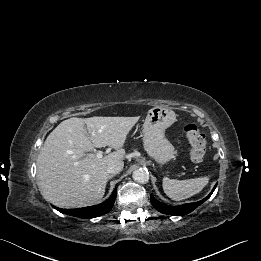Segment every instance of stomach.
<instances>
[{
	"mask_svg": "<svg viewBox=\"0 0 261 261\" xmlns=\"http://www.w3.org/2000/svg\"><path fill=\"white\" fill-rule=\"evenodd\" d=\"M175 121L176 114L174 111L162 106L150 109L144 121V148L159 164L167 163L174 156V147L165 137V130Z\"/></svg>",
	"mask_w": 261,
	"mask_h": 261,
	"instance_id": "stomach-1",
	"label": "stomach"
}]
</instances>
